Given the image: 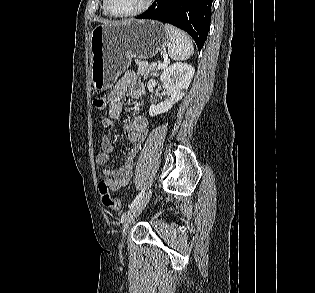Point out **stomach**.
<instances>
[{"label": "stomach", "instance_id": "stomach-1", "mask_svg": "<svg viewBox=\"0 0 315 293\" xmlns=\"http://www.w3.org/2000/svg\"><path fill=\"white\" fill-rule=\"evenodd\" d=\"M169 38L162 23L128 20L96 26L90 34L91 80L107 90L130 65L132 58L149 59L165 50Z\"/></svg>", "mask_w": 315, "mask_h": 293}]
</instances>
